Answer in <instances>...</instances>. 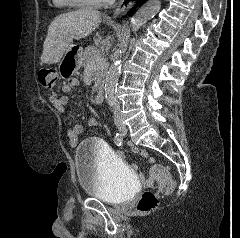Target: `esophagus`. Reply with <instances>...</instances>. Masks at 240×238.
Segmentation results:
<instances>
[{"label":"esophagus","instance_id":"obj_1","mask_svg":"<svg viewBox=\"0 0 240 238\" xmlns=\"http://www.w3.org/2000/svg\"><path fill=\"white\" fill-rule=\"evenodd\" d=\"M133 4L134 0H120L113 12V18H120L125 15Z\"/></svg>","mask_w":240,"mask_h":238}]
</instances>
